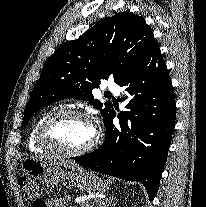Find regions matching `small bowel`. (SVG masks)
I'll return each instance as SVG.
<instances>
[{
    "label": "small bowel",
    "instance_id": "obj_1",
    "mask_svg": "<svg viewBox=\"0 0 206 207\" xmlns=\"http://www.w3.org/2000/svg\"><path fill=\"white\" fill-rule=\"evenodd\" d=\"M66 204H67L66 199H55V200L49 201L46 207H66Z\"/></svg>",
    "mask_w": 206,
    "mask_h": 207
}]
</instances>
